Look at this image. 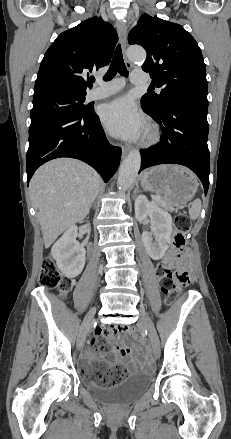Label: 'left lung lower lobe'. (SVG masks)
<instances>
[{
    "label": "left lung lower lobe",
    "mask_w": 231,
    "mask_h": 439,
    "mask_svg": "<svg viewBox=\"0 0 231 439\" xmlns=\"http://www.w3.org/2000/svg\"><path fill=\"white\" fill-rule=\"evenodd\" d=\"M143 110L160 125L162 135L157 146L141 150V170L158 164L184 165L199 177L206 195L210 173L207 98L183 95L157 111Z\"/></svg>",
    "instance_id": "1"
}]
</instances>
